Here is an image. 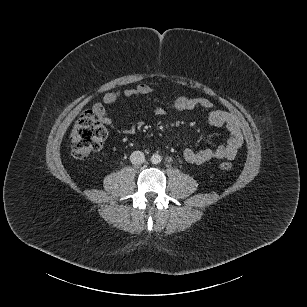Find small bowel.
I'll use <instances>...</instances> for the list:
<instances>
[{"instance_id":"obj_1","label":"small bowel","mask_w":307,"mask_h":307,"mask_svg":"<svg viewBox=\"0 0 307 307\" xmlns=\"http://www.w3.org/2000/svg\"><path fill=\"white\" fill-rule=\"evenodd\" d=\"M152 92L153 88L146 83L139 84L135 88L116 92H107L104 94L102 102H97L93 105L92 111L101 123L115 128L114 121L105 105H114L120 99L146 96ZM174 108L180 112L202 108L207 111L206 119L210 124L218 127H224L229 134L225 144L219 145L213 149L206 148L196 151L192 148H186L183 152V156L188 163L202 164L213 159L231 160L237 155L238 151L243 145V135L238 122L231 114L222 110L213 109L212 102L204 97L190 98L186 96H180L175 99ZM154 112L160 115L161 109L155 108ZM118 131L124 134H133L136 131V127L134 125H130L126 128L119 129Z\"/></svg>"}]
</instances>
